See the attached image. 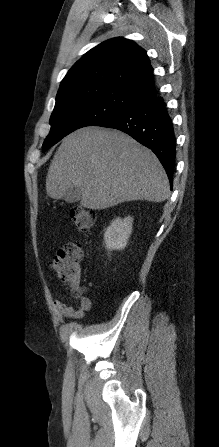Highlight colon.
<instances>
[{
    "instance_id": "5ec220e1",
    "label": "colon",
    "mask_w": 219,
    "mask_h": 447,
    "mask_svg": "<svg viewBox=\"0 0 219 447\" xmlns=\"http://www.w3.org/2000/svg\"><path fill=\"white\" fill-rule=\"evenodd\" d=\"M70 217L76 229L81 232H88L95 221L94 214L85 208L72 209ZM83 256V244L73 240L57 249L49 262L56 279L66 285L75 296L83 293L79 268Z\"/></svg>"
}]
</instances>
